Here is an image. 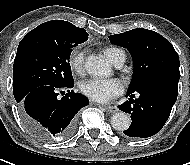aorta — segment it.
Returning <instances> with one entry per match:
<instances>
[{"instance_id":"aorta-1","label":"aorta","mask_w":190,"mask_h":165,"mask_svg":"<svg viewBox=\"0 0 190 165\" xmlns=\"http://www.w3.org/2000/svg\"><path fill=\"white\" fill-rule=\"evenodd\" d=\"M85 68L90 75L103 76L110 73L108 63L100 56L89 55L85 61ZM131 120L124 112H118L111 118V125L118 131L127 130L130 126Z\"/></svg>"}]
</instances>
